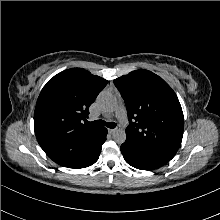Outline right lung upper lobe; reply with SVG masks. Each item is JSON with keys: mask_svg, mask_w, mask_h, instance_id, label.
<instances>
[{"mask_svg": "<svg viewBox=\"0 0 220 220\" xmlns=\"http://www.w3.org/2000/svg\"><path fill=\"white\" fill-rule=\"evenodd\" d=\"M107 82L84 69L71 68L46 83L36 103L34 127L49 157L63 163H78L88 157L85 143L97 137L102 127L87 126L83 120Z\"/></svg>", "mask_w": 220, "mask_h": 220, "instance_id": "obj_1", "label": "right lung upper lobe"}]
</instances>
